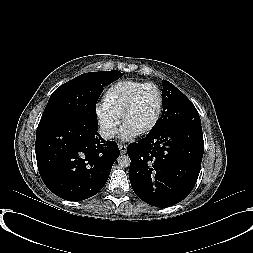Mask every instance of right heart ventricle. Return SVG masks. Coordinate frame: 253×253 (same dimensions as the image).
I'll list each match as a JSON object with an SVG mask.
<instances>
[{"instance_id": "obj_1", "label": "right heart ventricle", "mask_w": 253, "mask_h": 253, "mask_svg": "<svg viewBox=\"0 0 253 253\" xmlns=\"http://www.w3.org/2000/svg\"><path fill=\"white\" fill-rule=\"evenodd\" d=\"M145 82L125 79L110 85L103 94L102 104L105 108L120 116L122 109L132 92Z\"/></svg>"}]
</instances>
